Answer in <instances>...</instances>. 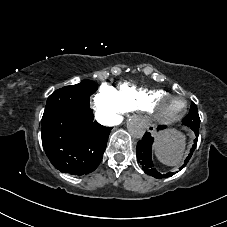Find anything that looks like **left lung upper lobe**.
Wrapping results in <instances>:
<instances>
[{
	"label": "left lung upper lobe",
	"mask_w": 227,
	"mask_h": 227,
	"mask_svg": "<svg viewBox=\"0 0 227 227\" xmlns=\"http://www.w3.org/2000/svg\"><path fill=\"white\" fill-rule=\"evenodd\" d=\"M182 123L188 127L199 128L200 118L195 103L192 102L189 114L182 120Z\"/></svg>",
	"instance_id": "left-lung-upper-lobe-1"
}]
</instances>
